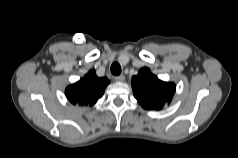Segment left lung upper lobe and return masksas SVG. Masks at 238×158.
<instances>
[{
  "mask_svg": "<svg viewBox=\"0 0 238 158\" xmlns=\"http://www.w3.org/2000/svg\"><path fill=\"white\" fill-rule=\"evenodd\" d=\"M133 93L138 103L145 109L160 110L169 103L175 93V84L163 82L148 68H142L131 80Z\"/></svg>",
  "mask_w": 238,
  "mask_h": 158,
  "instance_id": "left-lung-upper-lobe-1",
  "label": "left lung upper lobe"
}]
</instances>
